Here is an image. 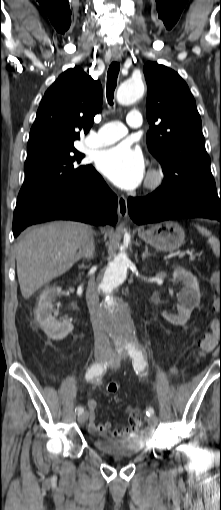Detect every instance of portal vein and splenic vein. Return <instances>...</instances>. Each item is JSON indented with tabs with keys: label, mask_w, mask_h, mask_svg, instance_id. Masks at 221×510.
Returning a JSON list of instances; mask_svg holds the SVG:
<instances>
[{
	"label": "portal vein and splenic vein",
	"mask_w": 221,
	"mask_h": 510,
	"mask_svg": "<svg viewBox=\"0 0 221 510\" xmlns=\"http://www.w3.org/2000/svg\"><path fill=\"white\" fill-rule=\"evenodd\" d=\"M189 259L190 260H194L195 259V255H190Z\"/></svg>",
	"instance_id": "obj_1"
}]
</instances>
